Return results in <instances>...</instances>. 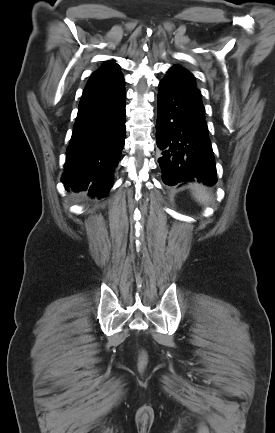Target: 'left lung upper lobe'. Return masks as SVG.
<instances>
[{
    "instance_id": "obj_1",
    "label": "left lung upper lobe",
    "mask_w": 275,
    "mask_h": 433,
    "mask_svg": "<svg viewBox=\"0 0 275 433\" xmlns=\"http://www.w3.org/2000/svg\"><path fill=\"white\" fill-rule=\"evenodd\" d=\"M166 77L174 79V80H177V81H180L182 83L189 84L193 88L197 89L196 86H195V80H194L193 75L190 72H188L186 69L181 68L179 66H173V67H171L168 70Z\"/></svg>"
}]
</instances>
